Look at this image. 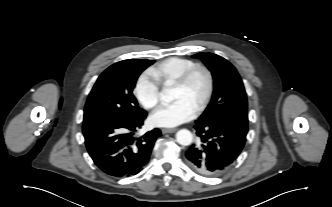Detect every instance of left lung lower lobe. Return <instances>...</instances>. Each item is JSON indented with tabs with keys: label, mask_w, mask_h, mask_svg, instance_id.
<instances>
[{
	"label": "left lung lower lobe",
	"mask_w": 332,
	"mask_h": 207,
	"mask_svg": "<svg viewBox=\"0 0 332 207\" xmlns=\"http://www.w3.org/2000/svg\"><path fill=\"white\" fill-rule=\"evenodd\" d=\"M200 141L186 152L188 165L205 176L226 171L241 153L248 132V117L242 114L223 116L212 121H196Z\"/></svg>",
	"instance_id": "1"
}]
</instances>
